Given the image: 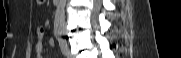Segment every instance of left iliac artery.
<instances>
[{"label":"left iliac artery","instance_id":"obj_1","mask_svg":"<svg viewBox=\"0 0 181 58\" xmlns=\"http://www.w3.org/2000/svg\"><path fill=\"white\" fill-rule=\"evenodd\" d=\"M59 46L61 48V51L63 54H67L68 52V47H67V42L64 38L60 37L59 39Z\"/></svg>","mask_w":181,"mask_h":58}]
</instances>
